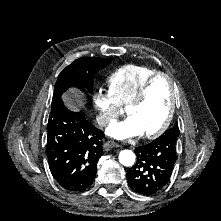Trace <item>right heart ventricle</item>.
<instances>
[{
  "instance_id": "obj_1",
  "label": "right heart ventricle",
  "mask_w": 221,
  "mask_h": 221,
  "mask_svg": "<svg viewBox=\"0 0 221 221\" xmlns=\"http://www.w3.org/2000/svg\"><path fill=\"white\" fill-rule=\"evenodd\" d=\"M158 70L148 65L127 64L115 69L107 77L109 90L120 104L129 102L142 83Z\"/></svg>"
}]
</instances>
